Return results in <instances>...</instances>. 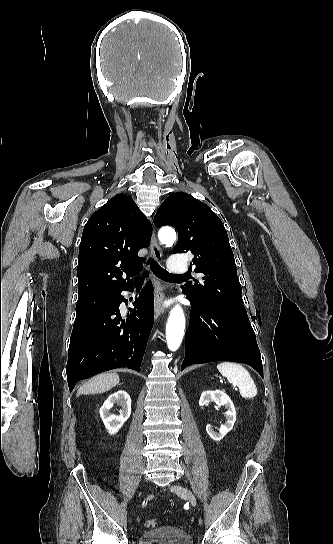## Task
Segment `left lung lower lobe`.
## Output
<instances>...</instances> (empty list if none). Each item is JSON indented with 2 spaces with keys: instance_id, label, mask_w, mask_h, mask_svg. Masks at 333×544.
Here are the masks:
<instances>
[{
  "instance_id": "left-lung-lower-lobe-1",
  "label": "left lung lower lobe",
  "mask_w": 333,
  "mask_h": 544,
  "mask_svg": "<svg viewBox=\"0 0 333 544\" xmlns=\"http://www.w3.org/2000/svg\"><path fill=\"white\" fill-rule=\"evenodd\" d=\"M183 293L192 308L181 370L195 363L233 361L250 365L263 377L261 355L252 327L209 309Z\"/></svg>"
}]
</instances>
